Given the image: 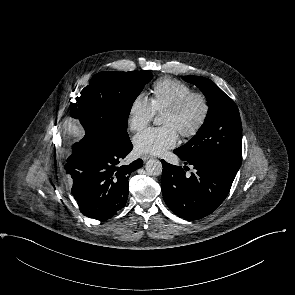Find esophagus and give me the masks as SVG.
<instances>
[{
  "label": "esophagus",
  "mask_w": 295,
  "mask_h": 295,
  "mask_svg": "<svg viewBox=\"0 0 295 295\" xmlns=\"http://www.w3.org/2000/svg\"><path fill=\"white\" fill-rule=\"evenodd\" d=\"M141 158H142V160H143L144 162H146V161H148L149 159H151L152 156H150V155H143Z\"/></svg>",
  "instance_id": "1"
}]
</instances>
